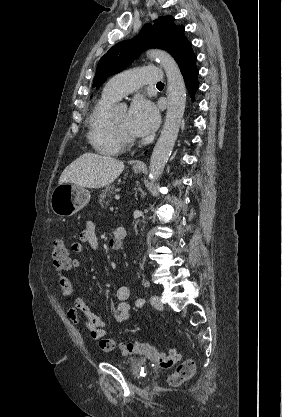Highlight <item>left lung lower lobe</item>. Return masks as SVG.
<instances>
[{
	"label": "left lung lower lobe",
	"instance_id": "1",
	"mask_svg": "<svg viewBox=\"0 0 282 417\" xmlns=\"http://www.w3.org/2000/svg\"><path fill=\"white\" fill-rule=\"evenodd\" d=\"M174 58L180 67L186 87L193 99L198 89V69L196 67V56L193 53L191 44L188 43L186 46L180 48Z\"/></svg>",
	"mask_w": 282,
	"mask_h": 417
}]
</instances>
